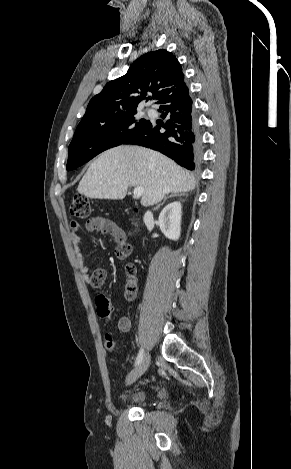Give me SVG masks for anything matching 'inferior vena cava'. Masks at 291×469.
<instances>
[{"mask_svg": "<svg viewBox=\"0 0 291 469\" xmlns=\"http://www.w3.org/2000/svg\"><path fill=\"white\" fill-rule=\"evenodd\" d=\"M151 215H152V213L150 211H147L146 214H145V217L151 216Z\"/></svg>", "mask_w": 291, "mask_h": 469, "instance_id": "inferior-vena-cava-1", "label": "inferior vena cava"}]
</instances>
